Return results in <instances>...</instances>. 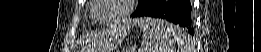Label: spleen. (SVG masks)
<instances>
[{"label":"spleen","mask_w":261,"mask_h":52,"mask_svg":"<svg viewBox=\"0 0 261 52\" xmlns=\"http://www.w3.org/2000/svg\"><path fill=\"white\" fill-rule=\"evenodd\" d=\"M143 31L142 52H190L192 40L184 29L167 21L143 18L139 21ZM171 34L172 37H169Z\"/></svg>","instance_id":"spleen-1"}]
</instances>
